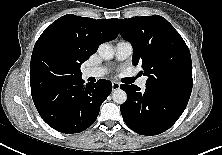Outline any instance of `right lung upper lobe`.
Instances as JSON below:
<instances>
[{
    "label": "right lung upper lobe",
    "instance_id": "obj_1",
    "mask_svg": "<svg viewBox=\"0 0 222 155\" xmlns=\"http://www.w3.org/2000/svg\"><path fill=\"white\" fill-rule=\"evenodd\" d=\"M118 36L113 19L67 14L48 26L38 38L30 62L31 92L82 76L81 64L99 45Z\"/></svg>",
    "mask_w": 222,
    "mask_h": 155
}]
</instances>
